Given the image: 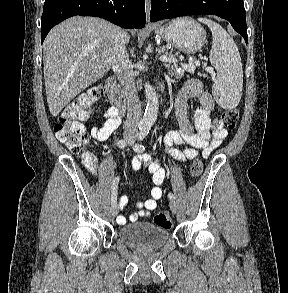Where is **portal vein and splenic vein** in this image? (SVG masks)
I'll list each match as a JSON object with an SVG mask.
<instances>
[{"instance_id":"obj_1","label":"portal vein and splenic vein","mask_w":288,"mask_h":293,"mask_svg":"<svg viewBox=\"0 0 288 293\" xmlns=\"http://www.w3.org/2000/svg\"><path fill=\"white\" fill-rule=\"evenodd\" d=\"M96 57H97L96 55H92V59H95ZM160 61L177 63V59L172 54H169V55L167 54V55L161 56ZM181 65L186 71H188L190 73H194V71L196 69L195 65H199V62H196L195 65L194 64H188V65L181 64ZM206 71L214 74L213 68H211V67H207Z\"/></svg>"}]
</instances>
